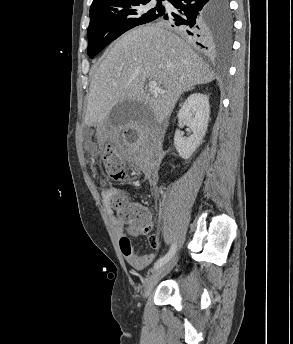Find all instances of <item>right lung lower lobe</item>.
Masks as SVG:
<instances>
[{
  "instance_id": "obj_1",
  "label": "right lung lower lobe",
  "mask_w": 293,
  "mask_h": 344,
  "mask_svg": "<svg viewBox=\"0 0 293 344\" xmlns=\"http://www.w3.org/2000/svg\"><path fill=\"white\" fill-rule=\"evenodd\" d=\"M177 12L164 14L159 21L168 24L189 41L205 50H212L217 28L214 25V5L216 0H169ZM232 21V20H231ZM232 23L228 47L231 44Z\"/></svg>"
}]
</instances>
